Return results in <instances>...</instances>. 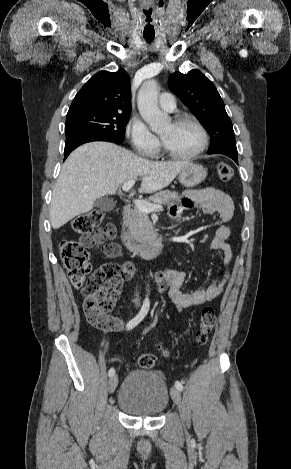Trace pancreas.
<instances>
[{"instance_id":"1","label":"pancreas","mask_w":291,"mask_h":469,"mask_svg":"<svg viewBox=\"0 0 291 469\" xmlns=\"http://www.w3.org/2000/svg\"><path fill=\"white\" fill-rule=\"evenodd\" d=\"M179 199L177 192L169 190L160 191L150 196L145 201L148 203H159L172 205ZM129 236L140 244H147L156 240L152 222L147 213L140 211L136 206L126 223Z\"/></svg>"}]
</instances>
